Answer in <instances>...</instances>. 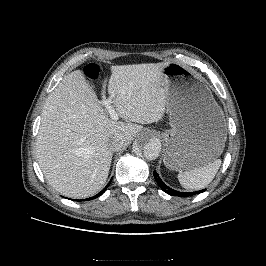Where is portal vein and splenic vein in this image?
Here are the masks:
<instances>
[{
    "label": "portal vein and splenic vein",
    "instance_id": "portal-vein-and-splenic-vein-1",
    "mask_svg": "<svg viewBox=\"0 0 266 266\" xmlns=\"http://www.w3.org/2000/svg\"><path fill=\"white\" fill-rule=\"evenodd\" d=\"M100 102L107 109L111 119L118 120V113L116 112L115 108L111 105V98L103 99Z\"/></svg>",
    "mask_w": 266,
    "mask_h": 266
}]
</instances>
